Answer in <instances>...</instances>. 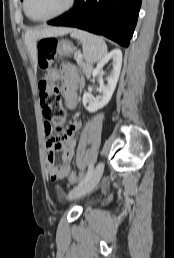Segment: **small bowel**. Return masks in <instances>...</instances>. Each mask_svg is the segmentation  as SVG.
Wrapping results in <instances>:
<instances>
[{
  "instance_id": "small-bowel-1",
  "label": "small bowel",
  "mask_w": 174,
  "mask_h": 258,
  "mask_svg": "<svg viewBox=\"0 0 174 258\" xmlns=\"http://www.w3.org/2000/svg\"><path fill=\"white\" fill-rule=\"evenodd\" d=\"M62 72L66 84L71 90H77L81 87L82 81L78 76L75 67L72 64L65 63L62 65ZM73 107L71 103L69 105ZM82 126L81 121L75 120L67 129L65 140L59 137H51V131L48 124H44V133L48 137L47 147H46V162L49 173L51 174L54 183H59L61 177H70L69 173L72 172L69 167V161L74 156L76 140L73 134L78 131ZM62 149L64 152L65 165L55 166V151ZM77 177V176H76Z\"/></svg>"
}]
</instances>
